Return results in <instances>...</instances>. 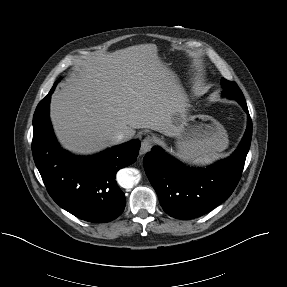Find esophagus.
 Returning a JSON list of instances; mask_svg holds the SVG:
<instances>
[{
	"label": "esophagus",
	"instance_id": "1",
	"mask_svg": "<svg viewBox=\"0 0 287 287\" xmlns=\"http://www.w3.org/2000/svg\"><path fill=\"white\" fill-rule=\"evenodd\" d=\"M154 143H155L154 137L146 136L141 143V149H140L141 154H145L146 152L150 151Z\"/></svg>",
	"mask_w": 287,
	"mask_h": 287
}]
</instances>
